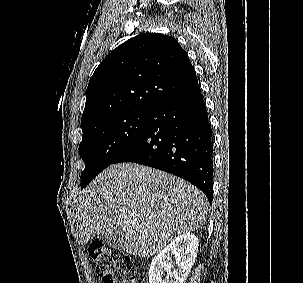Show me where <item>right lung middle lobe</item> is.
<instances>
[{
  "label": "right lung middle lobe",
  "instance_id": "dd1d6c3e",
  "mask_svg": "<svg viewBox=\"0 0 303 283\" xmlns=\"http://www.w3.org/2000/svg\"><path fill=\"white\" fill-rule=\"evenodd\" d=\"M155 112L132 110L118 113L83 130L79 153L85 163L84 188L130 147L152 122Z\"/></svg>",
  "mask_w": 303,
  "mask_h": 283
}]
</instances>
